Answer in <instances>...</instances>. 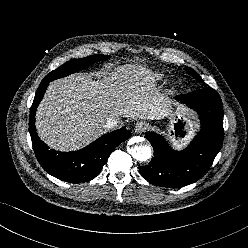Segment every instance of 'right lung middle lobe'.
I'll use <instances>...</instances> for the list:
<instances>
[{
	"label": "right lung middle lobe",
	"instance_id": "right-lung-middle-lobe-1",
	"mask_svg": "<svg viewBox=\"0 0 248 248\" xmlns=\"http://www.w3.org/2000/svg\"><path fill=\"white\" fill-rule=\"evenodd\" d=\"M109 57L110 56L108 55L105 56L102 54H96L85 58L69 61L59 68L55 69L54 71L50 72L44 79L52 81L58 78L65 77L82 69H85L95 62H99L103 59H108Z\"/></svg>",
	"mask_w": 248,
	"mask_h": 248
}]
</instances>
